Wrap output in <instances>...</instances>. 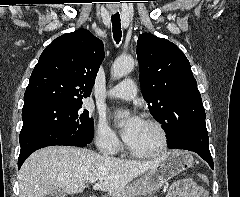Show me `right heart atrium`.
Here are the masks:
<instances>
[{"label":"right heart atrium","instance_id":"d8ad5b80","mask_svg":"<svg viewBox=\"0 0 240 197\" xmlns=\"http://www.w3.org/2000/svg\"><path fill=\"white\" fill-rule=\"evenodd\" d=\"M95 143L97 148L106 154L117 153L121 145L116 132L104 119H100L96 125Z\"/></svg>","mask_w":240,"mask_h":197}]
</instances>
